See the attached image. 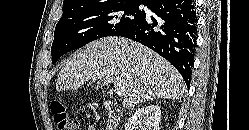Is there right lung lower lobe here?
I'll use <instances>...</instances> for the list:
<instances>
[{"mask_svg": "<svg viewBox=\"0 0 249 130\" xmlns=\"http://www.w3.org/2000/svg\"><path fill=\"white\" fill-rule=\"evenodd\" d=\"M148 8L153 16L118 36L135 40L167 59L189 87L196 45L197 17L191 0H154Z\"/></svg>", "mask_w": 249, "mask_h": 130, "instance_id": "right-lung-lower-lobe-1", "label": "right lung lower lobe"}]
</instances>
